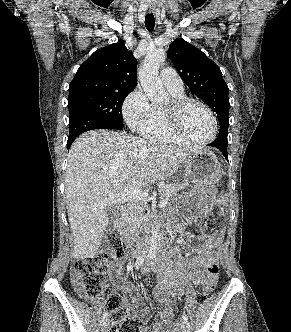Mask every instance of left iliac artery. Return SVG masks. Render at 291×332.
I'll use <instances>...</instances> for the list:
<instances>
[{
  "label": "left iliac artery",
  "instance_id": "left-iliac-artery-1",
  "mask_svg": "<svg viewBox=\"0 0 291 332\" xmlns=\"http://www.w3.org/2000/svg\"><path fill=\"white\" fill-rule=\"evenodd\" d=\"M183 320L188 321V316L186 314L182 315Z\"/></svg>",
  "mask_w": 291,
  "mask_h": 332
}]
</instances>
